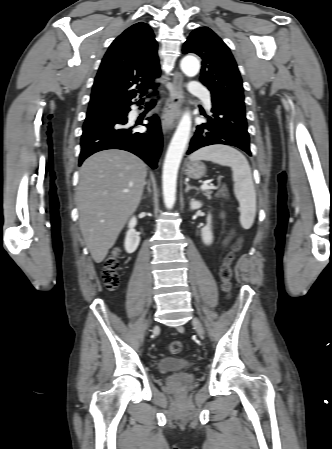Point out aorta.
Returning a JSON list of instances; mask_svg holds the SVG:
<instances>
[{
  "mask_svg": "<svg viewBox=\"0 0 332 449\" xmlns=\"http://www.w3.org/2000/svg\"><path fill=\"white\" fill-rule=\"evenodd\" d=\"M180 66L188 77H194L200 70V62L194 56L184 57ZM191 124V116L187 112L182 116L166 153L162 187L164 203L168 209H171L175 203L178 169L189 140Z\"/></svg>",
  "mask_w": 332,
  "mask_h": 449,
  "instance_id": "1",
  "label": "aorta"
}]
</instances>
